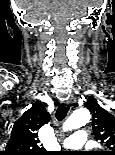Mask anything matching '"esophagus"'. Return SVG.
<instances>
[{
	"instance_id": "34e87169",
	"label": "esophagus",
	"mask_w": 115,
	"mask_h": 155,
	"mask_svg": "<svg viewBox=\"0 0 115 155\" xmlns=\"http://www.w3.org/2000/svg\"><path fill=\"white\" fill-rule=\"evenodd\" d=\"M65 103L67 106H71L73 102L71 99H68Z\"/></svg>"
}]
</instances>
